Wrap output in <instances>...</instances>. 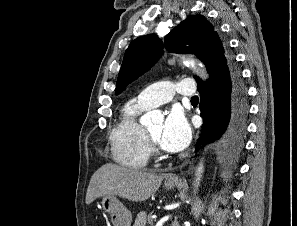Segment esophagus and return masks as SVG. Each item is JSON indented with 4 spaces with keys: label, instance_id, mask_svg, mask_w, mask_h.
<instances>
[{
    "label": "esophagus",
    "instance_id": "34e87169",
    "mask_svg": "<svg viewBox=\"0 0 297 226\" xmlns=\"http://www.w3.org/2000/svg\"><path fill=\"white\" fill-rule=\"evenodd\" d=\"M168 180L171 181V182H176V181H178V178L170 177V178H168Z\"/></svg>",
    "mask_w": 297,
    "mask_h": 226
}]
</instances>
